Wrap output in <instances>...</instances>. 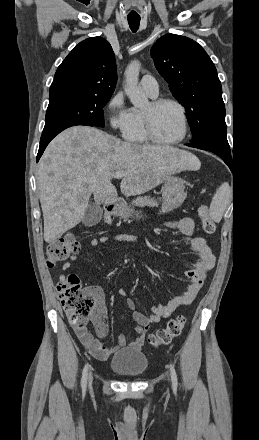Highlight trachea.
Here are the masks:
<instances>
[{
    "label": "trachea",
    "instance_id": "3493384b",
    "mask_svg": "<svg viewBox=\"0 0 259 440\" xmlns=\"http://www.w3.org/2000/svg\"><path fill=\"white\" fill-rule=\"evenodd\" d=\"M128 23L132 32H136L139 29L140 18H128Z\"/></svg>",
    "mask_w": 259,
    "mask_h": 440
}]
</instances>
